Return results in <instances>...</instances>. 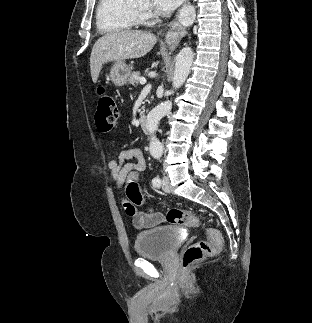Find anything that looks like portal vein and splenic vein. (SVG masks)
I'll list each match as a JSON object with an SVG mask.
<instances>
[{"mask_svg": "<svg viewBox=\"0 0 312 323\" xmlns=\"http://www.w3.org/2000/svg\"><path fill=\"white\" fill-rule=\"evenodd\" d=\"M140 84H146L145 78H140Z\"/></svg>", "mask_w": 312, "mask_h": 323, "instance_id": "portal-vein-and-splenic-vein-1", "label": "portal vein and splenic vein"}]
</instances>
